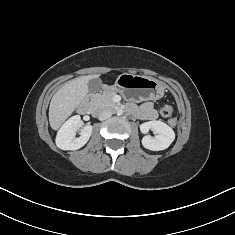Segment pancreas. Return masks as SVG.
I'll list each match as a JSON object with an SVG mask.
<instances>
[{
    "label": "pancreas",
    "instance_id": "cf45deb5",
    "mask_svg": "<svg viewBox=\"0 0 235 235\" xmlns=\"http://www.w3.org/2000/svg\"><path fill=\"white\" fill-rule=\"evenodd\" d=\"M115 94L113 91H104L102 94H95L92 100L98 108H117L118 105L113 101Z\"/></svg>",
    "mask_w": 235,
    "mask_h": 235
}]
</instances>
